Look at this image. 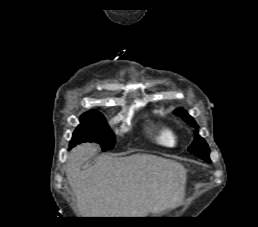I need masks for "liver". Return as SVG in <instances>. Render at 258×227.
<instances>
[{
  "instance_id": "6515ba94",
  "label": "liver",
  "mask_w": 258,
  "mask_h": 227,
  "mask_svg": "<svg viewBox=\"0 0 258 227\" xmlns=\"http://www.w3.org/2000/svg\"><path fill=\"white\" fill-rule=\"evenodd\" d=\"M85 143L68 156L66 176L85 217H145L178 206L184 197L186 170L178 162L135 154L126 157L101 155L81 170L96 153Z\"/></svg>"
}]
</instances>
